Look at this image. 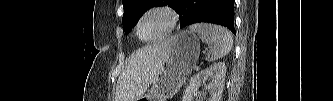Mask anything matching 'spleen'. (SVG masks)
<instances>
[{
  "label": "spleen",
  "mask_w": 333,
  "mask_h": 101,
  "mask_svg": "<svg viewBox=\"0 0 333 101\" xmlns=\"http://www.w3.org/2000/svg\"><path fill=\"white\" fill-rule=\"evenodd\" d=\"M191 32L198 34L200 39L208 44L209 51L206 60L216 61L227 55L233 46V38L225 27L207 23L193 24L189 27Z\"/></svg>",
  "instance_id": "3e777b00"
}]
</instances>
